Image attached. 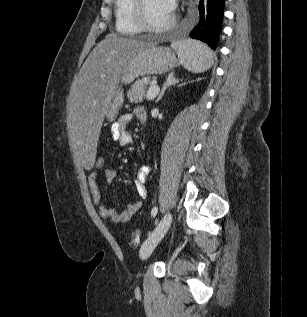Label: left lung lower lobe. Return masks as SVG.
<instances>
[{"instance_id": "obj_1", "label": "left lung lower lobe", "mask_w": 307, "mask_h": 317, "mask_svg": "<svg viewBox=\"0 0 307 317\" xmlns=\"http://www.w3.org/2000/svg\"><path fill=\"white\" fill-rule=\"evenodd\" d=\"M224 2L225 0H200L198 22L190 32L191 38L207 43L213 50L217 47L222 28Z\"/></svg>"}]
</instances>
